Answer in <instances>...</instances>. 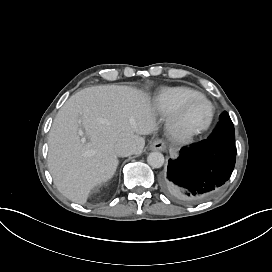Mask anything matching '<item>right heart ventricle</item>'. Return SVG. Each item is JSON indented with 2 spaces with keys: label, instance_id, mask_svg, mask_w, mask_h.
<instances>
[{
  "label": "right heart ventricle",
  "instance_id": "e07e8e85",
  "mask_svg": "<svg viewBox=\"0 0 272 272\" xmlns=\"http://www.w3.org/2000/svg\"><path fill=\"white\" fill-rule=\"evenodd\" d=\"M199 92L189 87H172L162 89L157 95L156 101L160 110L174 111L185 99L196 96Z\"/></svg>",
  "mask_w": 272,
  "mask_h": 272
}]
</instances>
